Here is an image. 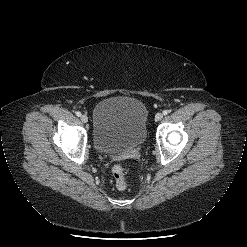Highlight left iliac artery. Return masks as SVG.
Returning <instances> with one entry per match:
<instances>
[{"label": "left iliac artery", "instance_id": "obj_1", "mask_svg": "<svg viewBox=\"0 0 247 247\" xmlns=\"http://www.w3.org/2000/svg\"><path fill=\"white\" fill-rule=\"evenodd\" d=\"M168 113H169L168 110H164V111H163V115H167Z\"/></svg>", "mask_w": 247, "mask_h": 247}]
</instances>
